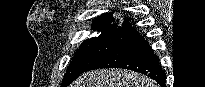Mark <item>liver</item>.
<instances>
[{
  "label": "liver",
  "mask_w": 205,
  "mask_h": 87,
  "mask_svg": "<svg viewBox=\"0 0 205 87\" xmlns=\"http://www.w3.org/2000/svg\"><path fill=\"white\" fill-rule=\"evenodd\" d=\"M71 87H158L145 75L122 69H100L81 75Z\"/></svg>",
  "instance_id": "1"
}]
</instances>
